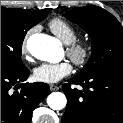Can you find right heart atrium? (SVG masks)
Listing matches in <instances>:
<instances>
[{
  "instance_id": "right-heart-atrium-1",
  "label": "right heart atrium",
  "mask_w": 123,
  "mask_h": 123,
  "mask_svg": "<svg viewBox=\"0 0 123 123\" xmlns=\"http://www.w3.org/2000/svg\"><path fill=\"white\" fill-rule=\"evenodd\" d=\"M21 52H22L23 55H26V53H27L26 40H24L23 43H22Z\"/></svg>"
}]
</instances>
